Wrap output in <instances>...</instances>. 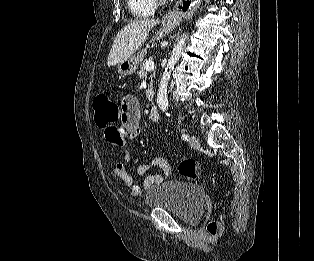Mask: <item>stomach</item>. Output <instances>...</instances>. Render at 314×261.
Wrapping results in <instances>:
<instances>
[{"label":"stomach","instance_id":"obj_1","mask_svg":"<svg viewBox=\"0 0 314 261\" xmlns=\"http://www.w3.org/2000/svg\"><path fill=\"white\" fill-rule=\"evenodd\" d=\"M145 53L144 51L138 52L136 54H133L131 57L127 58L123 62L118 64V73L122 76H129L132 75L140 61L143 59Z\"/></svg>","mask_w":314,"mask_h":261}]
</instances>
